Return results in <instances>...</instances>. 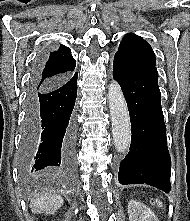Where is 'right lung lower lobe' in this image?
<instances>
[{
    "label": "right lung lower lobe",
    "instance_id": "1",
    "mask_svg": "<svg viewBox=\"0 0 190 221\" xmlns=\"http://www.w3.org/2000/svg\"><path fill=\"white\" fill-rule=\"evenodd\" d=\"M37 70L26 100L23 132V167L41 172L50 167L71 168L75 160L76 125L73 113L77 74L39 85Z\"/></svg>",
    "mask_w": 190,
    "mask_h": 221
}]
</instances>
